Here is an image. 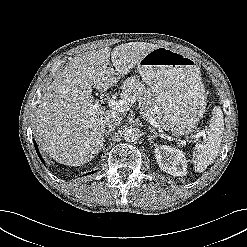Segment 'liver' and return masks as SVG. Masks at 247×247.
<instances>
[{
  "instance_id": "liver-1",
  "label": "liver",
  "mask_w": 247,
  "mask_h": 247,
  "mask_svg": "<svg viewBox=\"0 0 247 247\" xmlns=\"http://www.w3.org/2000/svg\"><path fill=\"white\" fill-rule=\"evenodd\" d=\"M156 44L132 42L74 57L44 93L35 112L36 141L56 162L80 166L103 148L104 106L95 109L92 86L107 90ZM110 60L114 66L109 67ZM116 112V111H114Z\"/></svg>"
}]
</instances>
